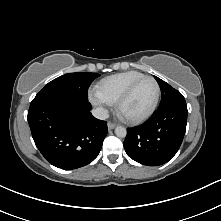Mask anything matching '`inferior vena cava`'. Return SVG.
I'll return each mask as SVG.
<instances>
[{
  "label": "inferior vena cava",
  "mask_w": 221,
  "mask_h": 221,
  "mask_svg": "<svg viewBox=\"0 0 221 221\" xmlns=\"http://www.w3.org/2000/svg\"><path fill=\"white\" fill-rule=\"evenodd\" d=\"M92 115L100 120H105L109 117L108 110L102 108V107H97L92 110Z\"/></svg>",
  "instance_id": "1"
}]
</instances>
